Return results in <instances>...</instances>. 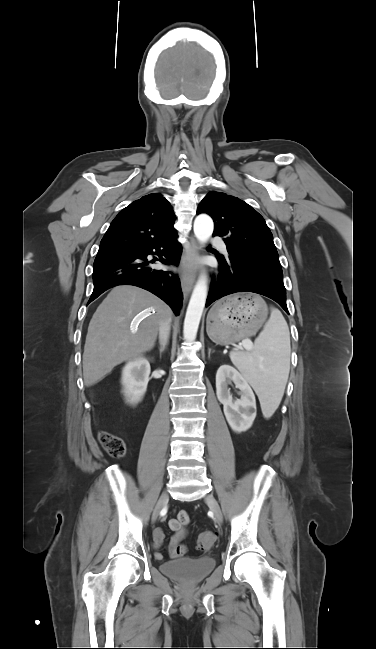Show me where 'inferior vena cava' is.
<instances>
[{
  "label": "inferior vena cava",
  "instance_id": "inferior-vena-cava-1",
  "mask_svg": "<svg viewBox=\"0 0 376 649\" xmlns=\"http://www.w3.org/2000/svg\"><path fill=\"white\" fill-rule=\"evenodd\" d=\"M170 322H171V318H169L168 320L163 322L161 324V326H160L159 342H160L161 348H165V346L168 343L169 334H170Z\"/></svg>",
  "mask_w": 376,
  "mask_h": 649
}]
</instances>
